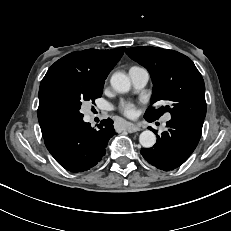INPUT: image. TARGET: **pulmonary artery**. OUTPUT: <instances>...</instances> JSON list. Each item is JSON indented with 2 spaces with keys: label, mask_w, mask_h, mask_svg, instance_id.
Listing matches in <instances>:
<instances>
[{
  "label": "pulmonary artery",
  "mask_w": 231,
  "mask_h": 231,
  "mask_svg": "<svg viewBox=\"0 0 231 231\" xmlns=\"http://www.w3.org/2000/svg\"><path fill=\"white\" fill-rule=\"evenodd\" d=\"M129 76L132 81V84L135 89L141 90L143 89L149 80V72L147 69L139 66H133L129 70ZM170 114H166L164 116V122L170 120Z\"/></svg>",
  "instance_id": "e3ab8cb5"
}]
</instances>
